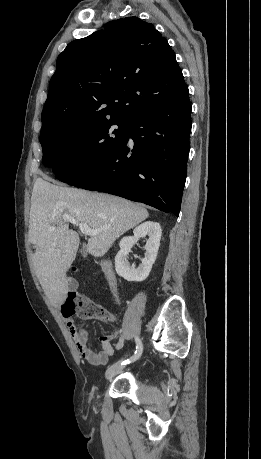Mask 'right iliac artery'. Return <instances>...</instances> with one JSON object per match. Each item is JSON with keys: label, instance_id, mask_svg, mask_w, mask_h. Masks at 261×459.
Instances as JSON below:
<instances>
[{"label": "right iliac artery", "instance_id": "1", "mask_svg": "<svg viewBox=\"0 0 261 459\" xmlns=\"http://www.w3.org/2000/svg\"><path fill=\"white\" fill-rule=\"evenodd\" d=\"M135 342H136V351H135V354H134L130 359L121 360L119 363H121L122 365H123V364L130 363L131 361H135V360H137V359L140 357V355H141V353H142V349H143V347H142V342H141V340H140L139 337H136V338H135Z\"/></svg>", "mask_w": 261, "mask_h": 459}]
</instances>
